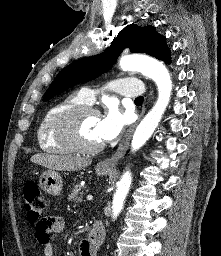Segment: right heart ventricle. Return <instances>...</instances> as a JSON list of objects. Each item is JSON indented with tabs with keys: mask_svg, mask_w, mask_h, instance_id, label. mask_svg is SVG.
Masks as SVG:
<instances>
[{
	"mask_svg": "<svg viewBox=\"0 0 221 256\" xmlns=\"http://www.w3.org/2000/svg\"><path fill=\"white\" fill-rule=\"evenodd\" d=\"M89 104L80 92L67 95L63 99L57 101L43 115L38 129L37 142L39 147L49 153H69L72 150L69 146L61 141L57 134V126L60 118L70 109Z\"/></svg>",
	"mask_w": 221,
	"mask_h": 256,
	"instance_id": "right-heart-ventricle-1",
	"label": "right heart ventricle"
}]
</instances>
